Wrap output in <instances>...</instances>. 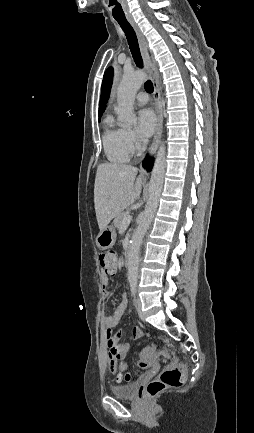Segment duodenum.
<instances>
[{
  "label": "duodenum",
  "mask_w": 254,
  "mask_h": 433,
  "mask_svg": "<svg viewBox=\"0 0 254 433\" xmlns=\"http://www.w3.org/2000/svg\"><path fill=\"white\" fill-rule=\"evenodd\" d=\"M130 255H131V244L127 242L126 246H125V266L126 267H128L131 264Z\"/></svg>",
  "instance_id": "1"
}]
</instances>
